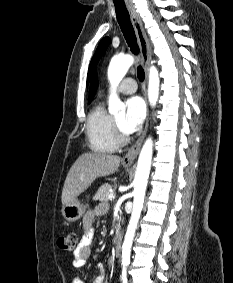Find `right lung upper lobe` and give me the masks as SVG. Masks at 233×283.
Listing matches in <instances>:
<instances>
[{"label": "right lung upper lobe", "instance_id": "cb5924a9", "mask_svg": "<svg viewBox=\"0 0 233 283\" xmlns=\"http://www.w3.org/2000/svg\"><path fill=\"white\" fill-rule=\"evenodd\" d=\"M98 87V80H97V74L96 71L94 72L93 78H92V82H91V86H90V92H89V102L92 101L95 92L97 90Z\"/></svg>", "mask_w": 233, "mask_h": 283}]
</instances>
